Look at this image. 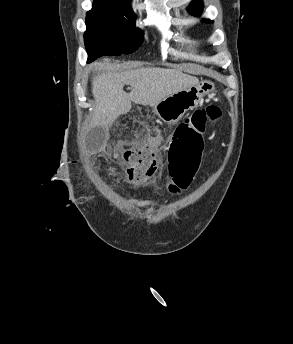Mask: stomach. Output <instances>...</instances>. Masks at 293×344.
I'll list each match as a JSON object with an SVG mask.
<instances>
[{
  "label": "stomach",
  "instance_id": "1",
  "mask_svg": "<svg viewBox=\"0 0 293 344\" xmlns=\"http://www.w3.org/2000/svg\"><path fill=\"white\" fill-rule=\"evenodd\" d=\"M213 89L212 81H201L191 88L166 97L154 106V112L164 122L175 124L187 111L197 107L202 98Z\"/></svg>",
  "mask_w": 293,
  "mask_h": 344
}]
</instances>
